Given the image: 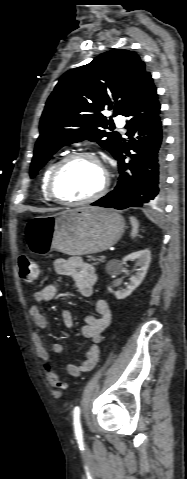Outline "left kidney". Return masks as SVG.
Listing matches in <instances>:
<instances>
[{
    "label": "left kidney",
    "mask_w": 187,
    "mask_h": 479,
    "mask_svg": "<svg viewBox=\"0 0 187 479\" xmlns=\"http://www.w3.org/2000/svg\"><path fill=\"white\" fill-rule=\"evenodd\" d=\"M127 261H136V265L139 268L136 269V274L130 278V283L126 286L125 289L113 291L110 286L108 287V291L110 293H113L117 299H124L128 297L141 284L151 262V253L149 250L146 249L133 252L125 256L121 261L113 259L109 261L106 266L107 273L111 276L118 275L121 272L123 265Z\"/></svg>",
    "instance_id": "left-kidney-1"
}]
</instances>
